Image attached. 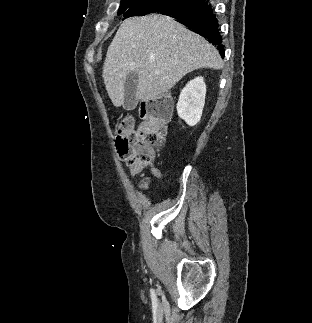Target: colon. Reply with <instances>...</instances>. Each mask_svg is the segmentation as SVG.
Segmentation results:
<instances>
[{
  "label": "colon",
  "mask_w": 312,
  "mask_h": 323,
  "mask_svg": "<svg viewBox=\"0 0 312 323\" xmlns=\"http://www.w3.org/2000/svg\"><path fill=\"white\" fill-rule=\"evenodd\" d=\"M161 101L152 102L147 118L138 126L132 115L118 119L116 158H129L132 172L153 165L155 151L165 140L166 116L160 109Z\"/></svg>",
  "instance_id": "colon-1"
}]
</instances>
